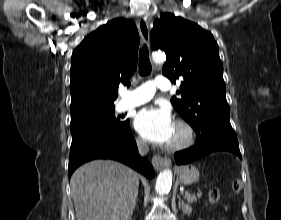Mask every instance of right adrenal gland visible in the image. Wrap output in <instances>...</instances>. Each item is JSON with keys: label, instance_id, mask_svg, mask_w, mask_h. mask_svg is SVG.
<instances>
[{"label": "right adrenal gland", "instance_id": "right-adrenal-gland-1", "mask_svg": "<svg viewBox=\"0 0 281 220\" xmlns=\"http://www.w3.org/2000/svg\"><path fill=\"white\" fill-rule=\"evenodd\" d=\"M136 203H138V199H136ZM136 203H135V205H136Z\"/></svg>", "mask_w": 281, "mask_h": 220}]
</instances>
